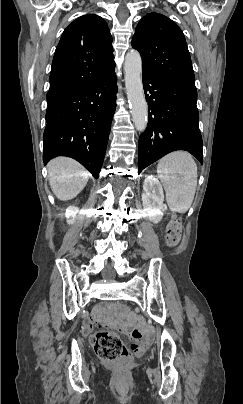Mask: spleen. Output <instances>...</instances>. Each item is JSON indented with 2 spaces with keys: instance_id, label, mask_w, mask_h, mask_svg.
I'll use <instances>...</instances> for the list:
<instances>
[{
  "instance_id": "3e777b00",
  "label": "spleen",
  "mask_w": 243,
  "mask_h": 404,
  "mask_svg": "<svg viewBox=\"0 0 243 404\" xmlns=\"http://www.w3.org/2000/svg\"><path fill=\"white\" fill-rule=\"evenodd\" d=\"M158 178L166 192L171 212L185 214L192 206L197 188V166L188 152H172L159 160Z\"/></svg>"
}]
</instances>
